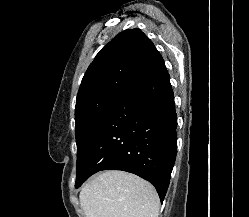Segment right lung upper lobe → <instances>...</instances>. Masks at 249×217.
Returning <instances> with one entry per match:
<instances>
[{
  "label": "right lung upper lobe",
  "instance_id": "obj_1",
  "mask_svg": "<svg viewBox=\"0 0 249 217\" xmlns=\"http://www.w3.org/2000/svg\"><path fill=\"white\" fill-rule=\"evenodd\" d=\"M162 59L152 41L140 30L119 33L96 55L79 88L76 106L102 93H126Z\"/></svg>",
  "mask_w": 249,
  "mask_h": 217
}]
</instances>
